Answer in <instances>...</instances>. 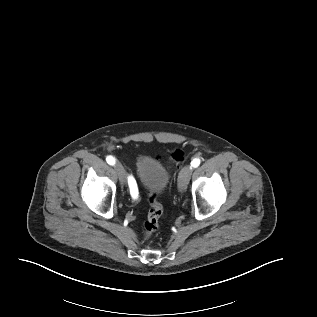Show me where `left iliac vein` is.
Returning <instances> with one entry per match:
<instances>
[{"label": "left iliac vein", "instance_id": "left-iliac-vein-1", "mask_svg": "<svg viewBox=\"0 0 317 317\" xmlns=\"http://www.w3.org/2000/svg\"><path fill=\"white\" fill-rule=\"evenodd\" d=\"M192 175V167L190 165H186L182 168L178 177V189L180 192H184L187 188V184Z\"/></svg>", "mask_w": 317, "mask_h": 317}]
</instances>
